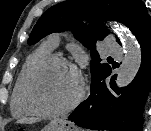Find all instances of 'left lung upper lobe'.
Here are the masks:
<instances>
[{
    "label": "left lung upper lobe",
    "instance_id": "1",
    "mask_svg": "<svg viewBox=\"0 0 151 131\" xmlns=\"http://www.w3.org/2000/svg\"><path fill=\"white\" fill-rule=\"evenodd\" d=\"M144 3L141 0H66L50 7L37 21L28 39L32 45L53 32L72 29L73 34L91 50V84L110 65L102 63L97 52L96 41L107 36L100 24L105 20H115L131 28L138 10ZM87 19L91 26H86L82 19ZM118 42L119 39H117Z\"/></svg>",
    "mask_w": 151,
    "mask_h": 131
}]
</instances>
